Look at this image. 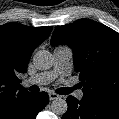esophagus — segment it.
<instances>
[{
    "label": "esophagus",
    "instance_id": "34e87169",
    "mask_svg": "<svg viewBox=\"0 0 119 119\" xmlns=\"http://www.w3.org/2000/svg\"><path fill=\"white\" fill-rule=\"evenodd\" d=\"M60 96L56 93H49V99L52 101V100H55V99H58Z\"/></svg>",
    "mask_w": 119,
    "mask_h": 119
}]
</instances>
